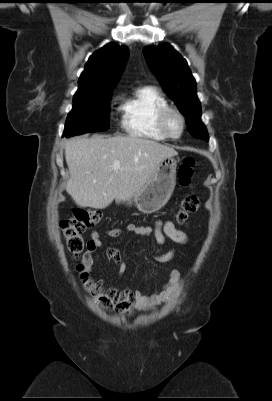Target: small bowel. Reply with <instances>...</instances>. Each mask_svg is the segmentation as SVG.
I'll list each match as a JSON object with an SVG mask.
<instances>
[{
  "label": "small bowel",
  "instance_id": "small-bowel-1",
  "mask_svg": "<svg viewBox=\"0 0 272 401\" xmlns=\"http://www.w3.org/2000/svg\"><path fill=\"white\" fill-rule=\"evenodd\" d=\"M124 232L140 237H148L152 235L159 245H163L167 239L177 244H185L187 242L186 233L179 230L173 221H158L153 227L130 223L124 229L113 228L107 230L106 233L109 237L118 238L122 236ZM102 244L103 242L100 233L98 231L92 232L91 238L87 242L86 252L81 261L82 268L85 272L90 271L94 267L95 253L102 247ZM174 256L175 251L156 255V257L162 261L171 260ZM106 257L117 265L119 275H122L125 272L126 264L122 261L117 249L109 248L106 252ZM181 285L182 277L180 272L178 270H173L168 275L163 287L160 290L149 294H145L138 290H117L114 288H110L108 291L117 303V312L121 315H127L133 308L140 311H146L157 304L166 303L171 299ZM98 287L102 289L103 283L100 282Z\"/></svg>",
  "mask_w": 272,
  "mask_h": 401
}]
</instances>
